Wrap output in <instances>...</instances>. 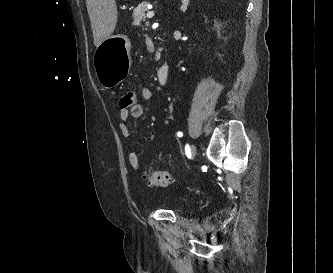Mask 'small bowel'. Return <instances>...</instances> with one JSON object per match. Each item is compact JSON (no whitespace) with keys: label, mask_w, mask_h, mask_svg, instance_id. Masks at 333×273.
<instances>
[{"label":"small bowel","mask_w":333,"mask_h":273,"mask_svg":"<svg viewBox=\"0 0 333 273\" xmlns=\"http://www.w3.org/2000/svg\"><path fill=\"white\" fill-rule=\"evenodd\" d=\"M141 97L144 101H150L153 98V91L149 87H143L141 89ZM144 113V107L141 103L135 102L132 105V109H121L119 110V124L118 130L122 137L128 138L130 136V131L126 122L130 117L140 118ZM128 163L130 167L136 171H140V161L136 152H129L127 156Z\"/></svg>","instance_id":"1"}]
</instances>
